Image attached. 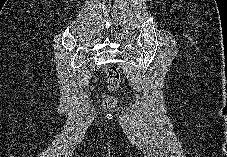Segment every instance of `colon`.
I'll use <instances>...</instances> for the list:
<instances>
[{"label":"colon","instance_id":"colon-1","mask_svg":"<svg viewBox=\"0 0 227 157\" xmlns=\"http://www.w3.org/2000/svg\"><path fill=\"white\" fill-rule=\"evenodd\" d=\"M104 72L107 76V88L109 91L104 104L107 108H112L116 102L114 92L119 88L120 72L114 65L107 66Z\"/></svg>","mask_w":227,"mask_h":157}]
</instances>
